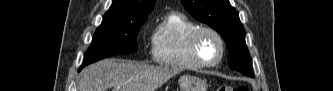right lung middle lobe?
Listing matches in <instances>:
<instances>
[{"instance_id": "dd1d6c3e", "label": "right lung middle lobe", "mask_w": 333, "mask_h": 91, "mask_svg": "<svg viewBox=\"0 0 333 91\" xmlns=\"http://www.w3.org/2000/svg\"><path fill=\"white\" fill-rule=\"evenodd\" d=\"M147 18L133 20L103 19L95 31L91 46L84 59L85 65L116 54L137 50V34Z\"/></svg>"}]
</instances>
